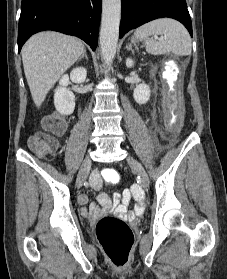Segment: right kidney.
I'll return each mask as SVG.
<instances>
[{"mask_svg":"<svg viewBox=\"0 0 227 279\" xmlns=\"http://www.w3.org/2000/svg\"><path fill=\"white\" fill-rule=\"evenodd\" d=\"M87 76V70L84 67L74 68L70 75H63L59 81V86L54 93V105L56 110L63 115H70L75 109V96L67 86L70 80L75 83H82Z\"/></svg>","mask_w":227,"mask_h":279,"instance_id":"ca27d5eb","label":"right kidney"}]
</instances>
